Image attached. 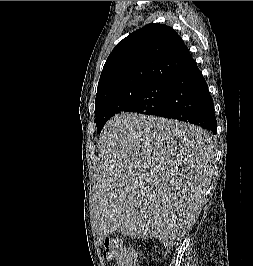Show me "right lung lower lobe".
I'll return each mask as SVG.
<instances>
[{"instance_id": "obj_1", "label": "right lung lower lobe", "mask_w": 253, "mask_h": 266, "mask_svg": "<svg viewBox=\"0 0 253 266\" xmlns=\"http://www.w3.org/2000/svg\"><path fill=\"white\" fill-rule=\"evenodd\" d=\"M158 116L189 122L216 134L213 100L196 63L170 82L164 109Z\"/></svg>"}]
</instances>
